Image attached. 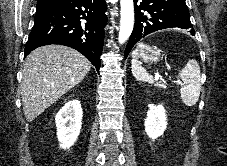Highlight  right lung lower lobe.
I'll list each match as a JSON object with an SVG mask.
<instances>
[{
  "instance_id": "obj_1",
  "label": "right lung lower lobe",
  "mask_w": 227,
  "mask_h": 166,
  "mask_svg": "<svg viewBox=\"0 0 227 166\" xmlns=\"http://www.w3.org/2000/svg\"><path fill=\"white\" fill-rule=\"evenodd\" d=\"M105 11V0H61L37 9L24 57L40 46L60 44L82 53L99 71Z\"/></svg>"
}]
</instances>
